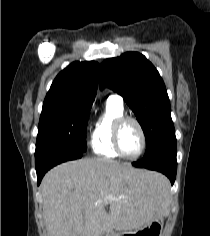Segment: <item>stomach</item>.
<instances>
[{"mask_svg":"<svg viewBox=\"0 0 210 236\" xmlns=\"http://www.w3.org/2000/svg\"><path fill=\"white\" fill-rule=\"evenodd\" d=\"M163 229V218L160 211H155L151 220L141 227L132 232L123 233L124 236H161ZM121 236V235H116ZM123 236V235H122Z\"/></svg>","mask_w":210,"mask_h":236,"instance_id":"0dacf381","label":"stomach"}]
</instances>
